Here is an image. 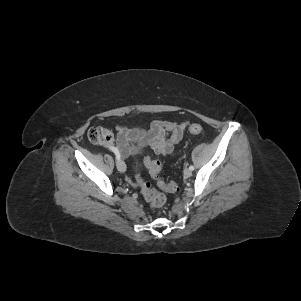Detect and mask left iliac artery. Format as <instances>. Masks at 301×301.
I'll list each match as a JSON object with an SVG mask.
<instances>
[{
    "label": "left iliac artery",
    "instance_id": "obj_1",
    "mask_svg": "<svg viewBox=\"0 0 301 301\" xmlns=\"http://www.w3.org/2000/svg\"><path fill=\"white\" fill-rule=\"evenodd\" d=\"M189 169H190L191 171H193V170H194V166H193V165H190V166H189Z\"/></svg>",
    "mask_w": 301,
    "mask_h": 301
}]
</instances>
